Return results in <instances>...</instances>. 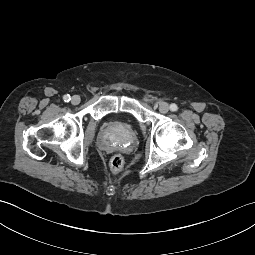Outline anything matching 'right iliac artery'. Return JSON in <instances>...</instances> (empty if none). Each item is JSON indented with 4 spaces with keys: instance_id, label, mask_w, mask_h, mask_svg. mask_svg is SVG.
I'll use <instances>...</instances> for the list:
<instances>
[{
    "instance_id": "right-iliac-artery-1",
    "label": "right iliac artery",
    "mask_w": 255,
    "mask_h": 255,
    "mask_svg": "<svg viewBox=\"0 0 255 255\" xmlns=\"http://www.w3.org/2000/svg\"><path fill=\"white\" fill-rule=\"evenodd\" d=\"M63 99L65 102H69L71 100V97L70 95L67 94V95H64Z\"/></svg>"
}]
</instances>
